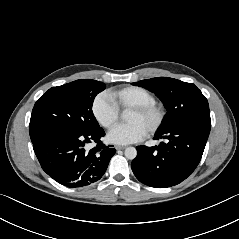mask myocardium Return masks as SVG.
Here are the masks:
<instances>
[{"label": "myocardium", "mask_w": 239, "mask_h": 239, "mask_svg": "<svg viewBox=\"0 0 239 239\" xmlns=\"http://www.w3.org/2000/svg\"><path fill=\"white\" fill-rule=\"evenodd\" d=\"M130 111L153 116L154 118L153 124L147 131V133L149 134H154L155 132H157L159 128L162 126L165 119V112L163 108L157 105L156 103L135 106L131 108Z\"/></svg>", "instance_id": "obj_1"}]
</instances>
